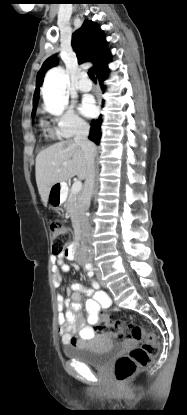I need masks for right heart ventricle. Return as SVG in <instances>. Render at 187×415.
<instances>
[{
    "label": "right heart ventricle",
    "instance_id": "right-heart-ventricle-1",
    "mask_svg": "<svg viewBox=\"0 0 187 415\" xmlns=\"http://www.w3.org/2000/svg\"><path fill=\"white\" fill-rule=\"evenodd\" d=\"M42 126H43V124H42ZM56 135H57L56 132H55V134L53 132L49 133V137L52 138V139L55 138Z\"/></svg>",
    "mask_w": 187,
    "mask_h": 415
}]
</instances>
